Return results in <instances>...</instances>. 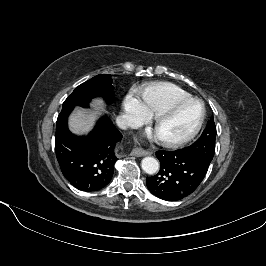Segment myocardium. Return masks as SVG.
Instances as JSON below:
<instances>
[{"mask_svg":"<svg viewBox=\"0 0 266 266\" xmlns=\"http://www.w3.org/2000/svg\"><path fill=\"white\" fill-rule=\"evenodd\" d=\"M192 103L199 104L202 108V113H201L200 119L197 122L196 126L193 128V130L190 133H188L187 135H185L181 138H178V139H167V138L160 137L158 135V128L160 127V125L166 119L173 116L180 109H182L183 107H185L189 104H192ZM205 118H206V108H205L204 103L199 99L189 98V99L178 101V102L172 104L171 106H169L168 108H166L165 110H163L162 112H160L159 114H157L155 117L154 127H155V131L158 135L159 140L164 145H166L168 147H179V146L187 144L188 142H190L191 140H193L197 136V134L200 132V130L204 124Z\"/></svg>","mask_w":266,"mask_h":266,"instance_id":"1","label":"myocardium"}]
</instances>
